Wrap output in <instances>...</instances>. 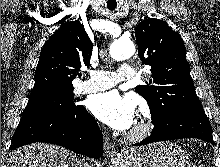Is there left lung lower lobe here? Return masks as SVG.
<instances>
[{"label": "left lung lower lobe", "mask_w": 220, "mask_h": 167, "mask_svg": "<svg viewBox=\"0 0 220 167\" xmlns=\"http://www.w3.org/2000/svg\"><path fill=\"white\" fill-rule=\"evenodd\" d=\"M149 137L133 146L180 138H199L213 144L212 129L202 106L171 110L157 120Z\"/></svg>", "instance_id": "obj_1"}]
</instances>
